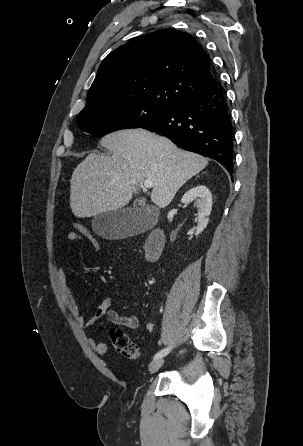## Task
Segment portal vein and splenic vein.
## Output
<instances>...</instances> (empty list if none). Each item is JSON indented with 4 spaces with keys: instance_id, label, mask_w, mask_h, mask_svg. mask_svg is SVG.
Masks as SVG:
<instances>
[{
    "instance_id": "obj_1",
    "label": "portal vein and splenic vein",
    "mask_w": 303,
    "mask_h": 446,
    "mask_svg": "<svg viewBox=\"0 0 303 446\" xmlns=\"http://www.w3.org/2000/svg\"><path fill=\"white\" fill-rule=\"evenodd\" d=\"M144 186H145V188H152L153 187V182L151 180H145L144 181Z\"/></svg>"
}]
</instances>
